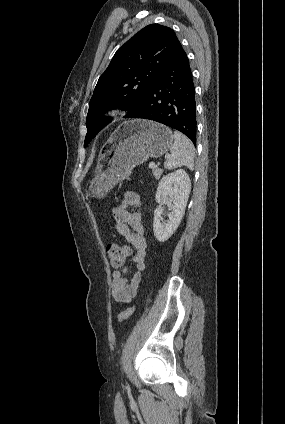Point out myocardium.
<instances>
[{
	"label": "myocardium",
	"instance_id": "f54148a6",
	"mask_svg": "<svg viewBox=\"0 0 285 424\" xmlns=\"http://www.w3.org/2000/svg\"><path fill=\"white\" fill-rule=\"evenodd\" d=\"M125 113L126 109L124 107H113L107 111L106 116L108 119L113 120L122 117Z\"/></svg>",
	"mask_w": 285,
	"mask_h": 424
}]
</instances>
